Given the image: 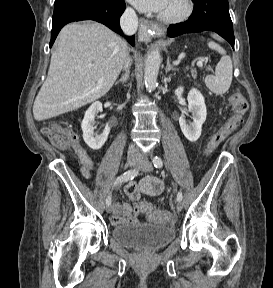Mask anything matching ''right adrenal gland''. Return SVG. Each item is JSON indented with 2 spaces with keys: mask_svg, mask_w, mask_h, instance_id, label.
<instances>
[{
  "mask_svg": "<svg viewBox=\"0 0 273 288\" xmlns=\"http://www.w3.org/2000/svg\"><path fill=\"white\" fill-rule=\"evenodd\" d=\"M128 78H129V70H127L125 74L115 84L117 85L120 82L124 84L127 82Z\"/></svg>",
  "mask_w": 273,
  "mask_h": 288,
  "instance_id": "obj_1",
  "label": "right adrenal gland"
}]
</instances>
